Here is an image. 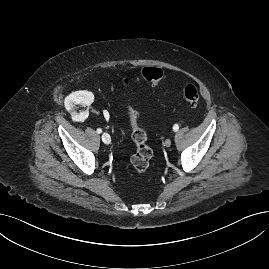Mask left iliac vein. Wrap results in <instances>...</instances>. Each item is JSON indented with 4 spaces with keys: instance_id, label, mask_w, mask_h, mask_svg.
<instances>
[{
    "instance_id": "left-iliac-vein-1",
    "label": "left iliac vein",
    "mask_w": 269,
    "mask_h": 269,
    "mask_svg": "<svg viewBox=\"0 0 269 269\" xmlns=\"http://www.w3.org/2000/svg\"><path fill=\"white\" fill-rule=\"evenodd\" d=\"M164 145H165L166 147H170V145H171V140H170V139H167V140L164 142Z\"/></svg>"
}]
</instances>
